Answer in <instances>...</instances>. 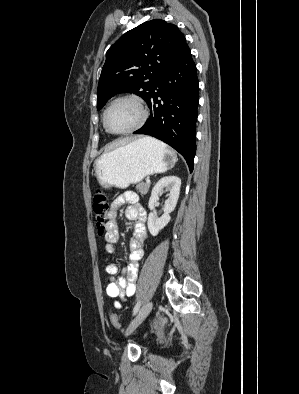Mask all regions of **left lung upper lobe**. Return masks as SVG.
<instances>
[{"instance_id": "obj_1", "label": "left lung upper lobe", "mask_w": 299, "mask_h": 394, "mask_svg": "<svg viewBox=\"0 0 299 394\" xmlns=\"http://www.w3.org/2000/svg\"><path fill=\"white\" fill-rule=\"evenodd\" d=\"M187 46L173 24L156 19L125 33L107 51L97 89V109L117 93H135L148 102L161 74Z\"/></svg>"}]
</instances>
